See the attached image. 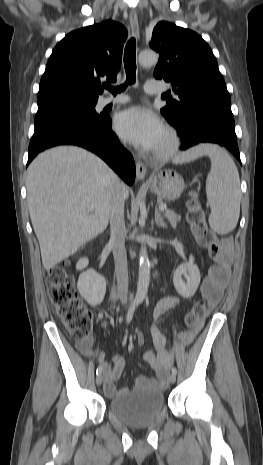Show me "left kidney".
<instances>
[{
	"instance_id": "5707ae66",
	"label": "left kidney",
	"mask_w": 263,
	"mask_h": 465,
	"mask_svg": "<svg viewBox=\"0 0 263 465\" xmlns=\"http://www.w3.org/2000/svg\"><path fill=\"white\" fill-rule=\"evenodd\" d=\"M182 275L186 281L182 279ZM200 279L198 266L194 264V258L190 255L189 262L181 264L175 270L173 283L179 295L183 298H190L195 294L200 284Z\"/></svg>"
}]
</instances>
